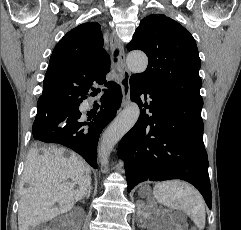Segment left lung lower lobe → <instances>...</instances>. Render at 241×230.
<instances>
[{"mask_svg":"<svg viewBox=\"0 0 241 230\" xmlns=\"http://www.w3.org/2000/svg\"><path fill=\"white\" fill-rule=\"evenodd\" d=\"M130 98L150 97L149 112L141 111L134 127L122 138L118 156L125 162L130 192L138 183L182 179L194 185L211 209L208 157L203 143V120L197 105L149 89L130 78ZM147 105V102L145 103Z\"/></svg>","mask_w":241,"mask_h":230,"instance_id":"obj_1","label":"left lung lower lobe"}]
</instances>
